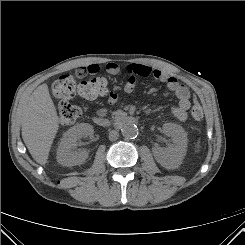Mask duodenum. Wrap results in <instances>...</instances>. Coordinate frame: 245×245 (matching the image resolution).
<instances>
[{
  "instance_id": "obj_1",
  "label": "duodenum",
  "mask_w": 245,
  "mask_h": 245,
  "mask_svg": "<svg viewBox=\"0 0 245 245\" xmlns=\"http://www.w3.org/2000/svg\"><path fill=\"white\" fill-rule=\"evenodd\" d=\"M94 122L100 127H118L122 124H135L138 122L137 118L125 113L119 114L113 120L105 116H96Z\"/></svg>"
}]
</instances>
